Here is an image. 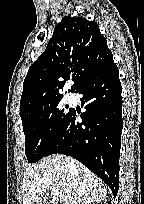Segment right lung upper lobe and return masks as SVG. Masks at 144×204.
<instances>
[{
    "mask_svg": "<svg viewBox=\"0 0 144 204\" xmlns=\"http://www.w3.org/2000/svg\"><path fill=\"white\" fill-rule=\"evenodd\" d=\"M111 60L113 55L97 23L82 17H63L46 50L28 70L20 101L21 117L63 96L60 90L70 75L74 84L69 91L76 92Z\"/></svg>",
    "mask_w": 144,
    "mask_h": 204,
    "instance_id": "obj_1",
    "label": "right lung upper lobe"
}]
</instances>
